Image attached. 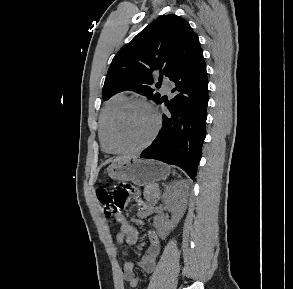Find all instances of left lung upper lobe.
<instances>
[{"instance_id": "1", "label": "left lung upper lobe", "mask_w": 293, "mask_h": 289, "mask_svg": "<svg viewBox=\"0 0 293 289\" xmlns=\"http://www.w3.org/2000/svg\"><path fill=\"white\" fill-rule=\"evenodd\" d=\"M202 52L199 38L189 23L174 14L163 15L145 27L115 55L108 69L102 97L134 90L155 101L160 94L150 87L152 72L171 78ZM158 84V83H157ZM156 84V86H157Z\"/></svg>"}]
</instances>
